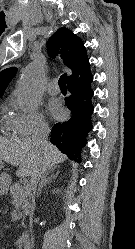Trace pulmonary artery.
I'll return each instance as SVG.
<instances>
[{"instance_id": "1", "label": "pulmonary artery", "mask_w": 135, "mask_h": 249, "mask_svg": "<svg viewBox=\"0 0 135 249\" xmlns=\"http://www.w3.org/2000/svg\"><path fill=\"white\" fill-rule=\"evenodd\" d=\"M47 91L51 95H57L59 93L60 88L56 80H53L49 83V85L47 86Z\"/></svg>"}]
</instances>
